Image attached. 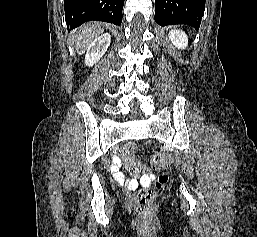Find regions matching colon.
I'll use <instances>...</instances> for the list:
<instances>
[{
	"label": "colon",
	"instance_id": "5ec220e1",
	"mask_svg": "<svg viewBox=\"0 0 257 237\" xmlns=\"http://www.w3.org/2000/svg\"><path fill=\"white\" fill-rule=\"evenodd\" d=\"M136 150L137 148L134 144H127L123 147L122 154L128 171L134 176H140L144 171V167L140 162L131 158L132 154ZM151 164L155 168H164L166 165V158L164 154L160 152L153 153L151 156ZM167 180V175L162 173L158 176L153 185L139 191L136 198V210L141 218L150 219L152 217L153 200L156 191L161 189Z\"/></svg>",
	"mask_w": 257,
	"mask_h": 237
}]
</instances>
